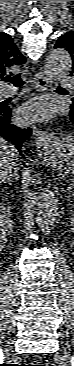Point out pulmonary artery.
<instances>
[{
  "label": "pulmonary artery",
  "mask_w": 74,
  "mask_h": 366,
  "mask_svg": "<svg viewBox=\"0 0 74 366\" xmlns=\"http://www.w3.org/2000/svg\"><path fill=\"white\" fill-rule=\"evenodd\" d=\"M60 83L62 88H71L73 87V80L67 77L60 78ZM4 96L9 97L15 94V90L13 88H7L4 90Z\"/></svg>",
  "instance_id": "e3ab8cb5"
}]
</instances>
